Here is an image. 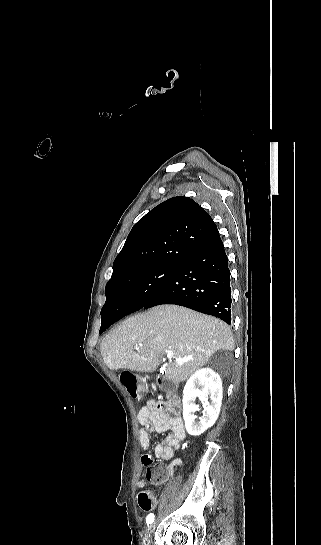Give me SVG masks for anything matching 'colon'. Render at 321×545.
Here are the masks:
<instances>
[{"label":"colon","instance_id":"5ec220e1","mask_svg":"<svg viewBox=\"0 0 321 545\" xmlns=\"http://www.w3.org/2000/svg\"><path fill=\"white\" fill-rule=\"evenodd\" d=\"M119 378L129 395L134 399H140L142 395V386L137 376L127 370H123L119 374ZM161 472L157 473V477ZM138 502L141 509L150 511L156 504V499L150 489H142L138 494Z\"/></svg>","mask_w":321,"mask_h":545}]
</instances>
